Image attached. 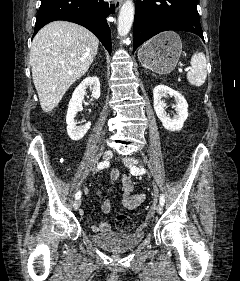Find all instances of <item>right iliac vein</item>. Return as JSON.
<instances>
[{
  "label": "right iliac vein",
  "instance_id": "63e3f726",
  "mask_svg": "<svg viewBox=\"0 0 240 281\" xmlns=\"http://www.w3.org/2000/svg\"><path fill=\"white\" fill-rule=\"evenodd\" d=\"M112 156H113V152H112L111 150H107V151H105L104 154H103V159H104V160H109V159L112 158ZM80 205H81V200H80V199H77V200L74 202L73 207H74L75 210H77V209L80 207Z\"/></svg>",
  "mask_w": 240,
  "mask_h": 281
}]
</instances>
